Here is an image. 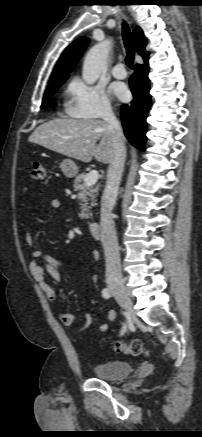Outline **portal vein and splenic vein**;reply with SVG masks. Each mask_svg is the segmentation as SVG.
Here are the masks:
<instances>
[{
    "label": "portal vein and splenic vein",
    "instance_id": "1",
    "mask_svg": "<svg viewBox=\"0 0 202 437\" xmlns=\"http://www.w3.org/2000/svg\"><path fill=\"white\" fill-rule=\"evenodd\" d=\"M98 178H99L98 171L92 170L89 172V174H87V176L85 178L84 185L85 186H92L97 182Z\"/></svg>",
    "mask_w": 202,
    "mask_h": 437
}]
</instances>
